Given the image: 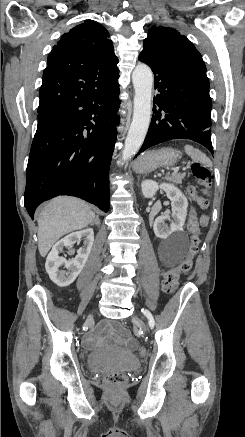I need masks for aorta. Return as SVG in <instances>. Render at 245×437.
<instances>
[{"label": "aorta", "mask_w": 245, "mask_h": 437, "mask_svg": "<svg viewBox=\"0 0 245 437\" xmlns=\"http://www.w3.org/2000/svg\"><path fill=\"white\" fill-rule=\"evenodd\" d=\"M135 90L133 119L125 140L122 159L125 161L137 153L147 134L151 120V95L153 74L143 63L136 66L132 73Z\"/></svg>", "instance_id": "aorta-1"}]
</instances>
